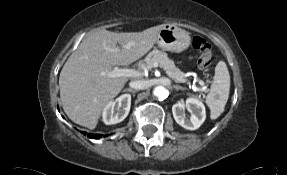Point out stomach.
<instances>
[{"instance_id":"obj_1","label":"stomach","mask_w":287,"mask_h":175,"mask_svg":"<svg viewBox=\"0 0 287 175\" xmlns=\"http://www.w3.org/2000/svg\"><path fill=\"white\" fill-rule=\"evenodd\" d=\"M156 44L161 49L180 53L189 47L190 36L184 29L165 24L158 32Z\"/></svg>"}]
</instances>
